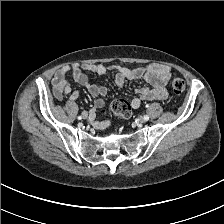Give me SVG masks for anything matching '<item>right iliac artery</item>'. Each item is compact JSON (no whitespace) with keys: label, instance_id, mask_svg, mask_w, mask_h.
Returning <instances> with one entry per match:
<instances>
[{"label":"right iliac artery","instance_id":"1","mask_svg":"<svg viewBox=\"0 0 224 224\" xmlns=\"http://www.w3.org/2000/svg\"><path fill=\"white\" fill-rule=\"evenodd\" d=\"M82 114H83V113H82ZM78 119L81 120V119H82V116H78Z\"/></svg>","mask_w":224,"mask_h":224}]
</instances>
